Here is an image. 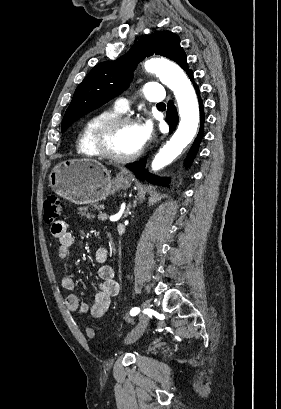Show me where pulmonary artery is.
<instances>
[{
  "label": "pulmonary artery",
  "instance_id": "1",
  "mask_svg": "<svg viewBox=\"0 0 281 409\" xmlns=\"http://www.w3.org/2000/svg\"><path fill=\"white\" fill-rule=\"evenodd\" d=\"M146 90L140 92V97L142 99H148L151 103H162L163 94L165 92L161 81H146L143 84ZM117 108L116 111L121 112L124 106L127 104V99L125 97H118L116 99Z\"/></svg>",
  "mask_w": 281,
  "mask_h": 409
}]
</instances>
